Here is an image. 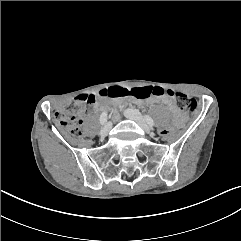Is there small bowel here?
Masks as SVG:
<instances>
[{
    "mask_svg": "<svg viewBox=\"0 0 241 241\" xmlns=\"http://www.w3.org/2000/svg\"><path fill=\"white\" fill-rule=\"evenodd\" d=\"M163 104H165L167 106V108L175 115H179L180 112L178 110V108L176 107V105L173 103V101L168 98V97H159L158 98ZM156 98H151V101H155Z\"/></svg>",
    "mask_w": 241,
    "mask_h": 241,
    "instance_id": "c3829d8e",
    "label": "small bowel"
}]
</instances>
